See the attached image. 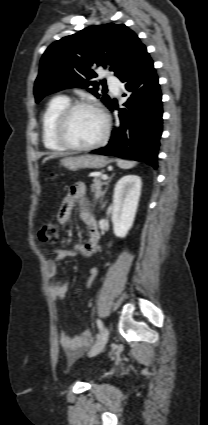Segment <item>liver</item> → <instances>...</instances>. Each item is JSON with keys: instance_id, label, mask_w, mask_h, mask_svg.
Masks as SVG:
<instances>
[{"instance_id": "1", "label": "liver", "mask_w": 208, "mask_h": 425, "mask_svg": "<svg viewBox=\"0 0 208 425\" xmlns=\"http://www.w3.org/2000/svg\"><path fill=\"white\" fill-rule=\"evenodd\" d=\"M56 157H58V155H57V154H52V155H50V156H48V157H45V158L43 159V163H45V162H46V161H48L49 159L56 158Z\"/></svg>"}]
</instances>
